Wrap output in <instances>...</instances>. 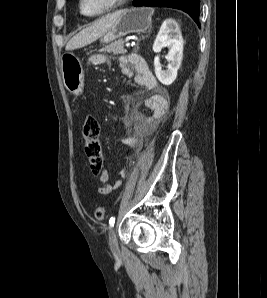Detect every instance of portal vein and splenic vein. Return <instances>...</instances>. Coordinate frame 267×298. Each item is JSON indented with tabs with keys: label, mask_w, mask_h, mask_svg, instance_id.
Segmentation results:
<instances>
[{
	"label": "portal vein and splenic vein",
	"mask_w": 267,
	"mask_h": 298,
	"mask_svg": "<svg viewBox=\"0 0 267 298\" xmlns=\"http://www.w3.org/2000/svg\"><path fill=\"white\" fill-rule=\"evenodd\" d=\"M130 45H131L130 42L126 43V47H130Z\"/></svg>",
	"instance_id": "1"
}]
</instances>
